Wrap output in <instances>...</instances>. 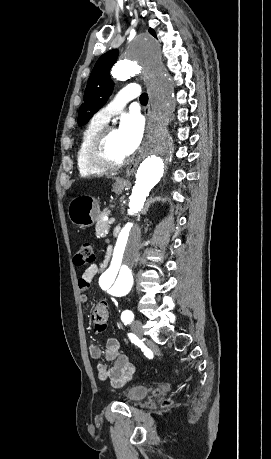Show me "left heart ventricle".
Here are the masks:
<instances>
[{
    "label": "left heart ventricle",
    "mask_w": 271,
    "mask_h": 459,
    "mask_svg": "<svg viewBox=\"0 0 271 459\" xmlns=\"http://www.w3.org/2000/svg\"><path fill=\"white\" fill-rule=\"evenodd\" d=\"M108 145H109V148L111 150V152L115 155H125V154H128L126 149H125V146H124V143H123V140L120 136V133H119V130L118 129H114L109 137V141H108Z\"/></svg>",
    "instance_id": "1"
}]
</instances>
